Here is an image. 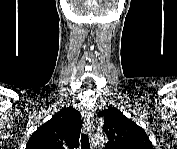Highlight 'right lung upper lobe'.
<instances>
[{
    "label": "right lung upper lobe",
    "mask_w": 177,
    "mask_h": 149,
    "mask_svg": "<svg viewBox=\"0 0 177 149\" xmlns=\"http://www.w3.org/2000/svg\"><path fill=\"white\" fill-rule=\"evenodd\" d=\"M81 114L72 107L63 108L38 127L26 149H74L79 146Z\"/></svg>",
    "instance_id": "right-lung-upper-lobe-1"
}]
</instances>
